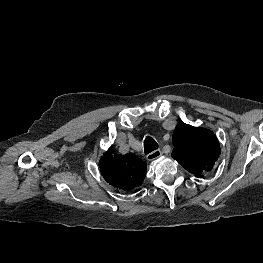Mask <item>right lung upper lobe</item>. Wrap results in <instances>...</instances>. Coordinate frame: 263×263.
<instances>
[{
	"label": "right lung upper lobe",
	"instance_id": "obj_1",
	"mask_svg": "<svg viewBox=\"0 0 263 263\" xmlns=\"http://www.w3.org/2000/svg\"><path fill=\"white\" fill-rule=\"evenodd\" d=\"M100 172L113 187L132 190L140 186L146 175V163L135 154H114L113 149L104 153L99 162Z\"/></svg>",
	"mask_w": 263,
	"mask_h": 263
}]
</instances>
